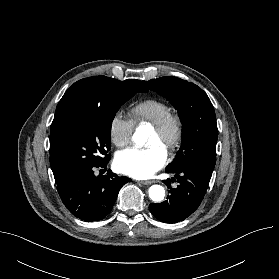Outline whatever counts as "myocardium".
Wrapping results in <instances>:
<instances>
[{"instance_id":"myocardium-1","label":"myocardium","mask_w":279,"mask_h":279,"mask_svg":"<svg viewBox=\"0 0 279 279\" xmlns=\"http://www.w3.org/2000/svg\"><path fill=\"white\" fill-rule=\"evenodd\" d=\"M153 131L160 136L171 134L172 138L167 153L173 154L181 145L183 137V123L180 116L170 111L158 123L153 125Z\"/></svg>"}]
</instances>
